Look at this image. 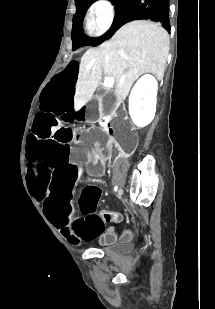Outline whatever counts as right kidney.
<instances>
[{"label":"right kidney","mask_w":215,"mask_h":309,"mask_svg":"<svg viewBox=\"0 0 215 309\" xmlns=\"http://www.w3.org/2000/svg\"><path fill=\"white\" fill-rule=\"evenodd\" d=\"M157 90L158 82L152 74H144L134 84L129 96V112L137 126H146L153 120L156 110Z\"/></svg>","instance_id":"right-kidney-1"}]
</instances>
